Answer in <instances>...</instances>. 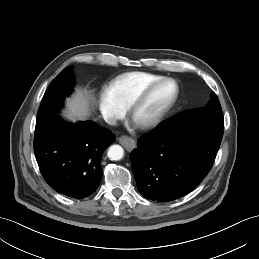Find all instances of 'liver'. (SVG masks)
I'll use <instances>...</instances> for the list:
<instances>
[{"mask_svg":"<svg viewBox=\"0 0 259 259\" xmlns=\"http://www.w3.org/2000/svg\"><path fill=\"white\" fill-rule=\"evenodd\" d=\"M89 105L90 99L86 92L78 90L75 96L71 100H68V109L64 114L72 121H75L76 118L82 119L89 114Z\"/></svg>","mask_w":259,"mask_h":259,"instance_id":"obj_1","label":"liver"}]
</instances>
